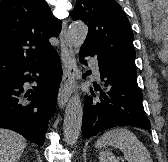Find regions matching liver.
Listing matches in <instances>:
<instances>
[{
    "instance_id": "obj_1",
    "label": "liver",
    "mask_w": 168,
    "mask_h": 162,
    "mask_svg": "<svg viewBox=\"0 0 168 162\" xmlns=\"http://www.w3.org/2000/svg\"><path fill=\"white\" fill-rule=\"evenodd\" d=\"M26 147V139L11 130L0 128V162H17Z\"/></svg>"
}]
</instances>
